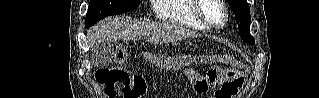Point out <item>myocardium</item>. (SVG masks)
Masks as SVG:
<instances>
[{"label": "myocardium", "mask_w": 319, "mask_h": 98, "mask_svg": "<svg viewBox=\"0 0 319 98\" xmlns=\"http://www.w3.org/2000/svg\"><path fill=\"white\" fill-rule=\"evenodd\" d=\"M205 1H209V0H195V8H194V12H195V15L197 17V19L204 25L206 26L207 28L209 29H219V28H222L226 25L227 21H228V17H229V14H228V10H227V7L224 3V1H221V0H212V1H215L223 10L224 12V18H223V21L222 23L220 24H214L212 23L205 15L204 13L202 12V8H203V4Z\"/></svg>", "instance_id": "f54148a6"}]
</instances>
